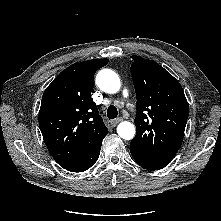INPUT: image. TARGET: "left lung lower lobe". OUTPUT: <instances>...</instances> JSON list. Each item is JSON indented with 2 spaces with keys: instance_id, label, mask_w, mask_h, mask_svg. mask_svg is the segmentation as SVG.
Listing matches in <instances>:
<instances>
[{
  "instance_id": "1",
  "label": "left lung lower lobe",
  "mask_w": 221,
  "mask_h": 221,
  "mask_svg": "<svg viewBox=\"0 0 221 221\" xmlns=\"http://www.w3.org/2000/svg\"><path fill=\"white\" fill-rule=\"evenodd\" d=\"M134 160L138 165L141 167L148 169V170H158L164 168L166 165L165 164H159V163H153V162H147L141 159H138L133 153H131Z\"/></svg>"
}]
</instances>
